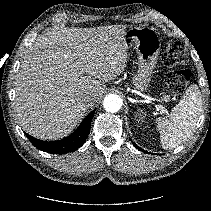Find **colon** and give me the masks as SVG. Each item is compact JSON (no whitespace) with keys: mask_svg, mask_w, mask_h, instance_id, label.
<instances>
[{"mask_svg":"<svg viewBox=\"0 0 211 211\" xmlns=\"http://www.w3.org/2000/svg\"><path fill=\"white\" fill-rule=\"evenodd\" d=\"M161 60L165 66L171 68L165 76L169 89L175 94L182 93L191 78V73L188 70L177 68L186 61L183 46L177 41L169 42L161 56Z\"/></svg>","mask_w":211,"mask_h":211,"instance_id":"obj_1","label":"colon"}]
</instances>
